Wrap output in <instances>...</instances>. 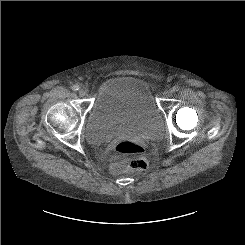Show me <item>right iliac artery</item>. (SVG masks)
Returning a JSON list of instances; mask_svg holds the SVG:
<instances>
[{
  "label": "right iliac artery",
  "mask_w": 245,
  "mask_h": 245,
  "mask_svg": "<svg viewBox=\"0 0 245 245\" xmlns=\"http://www.w3.org/2000/svg\"><path fill=\"white\" fill-rule=\"evenodd\" d=\"M78 89H79V86L78 85L72 86V90L77 91Z\"/></svg>",
  "instance_id": "right-iliac-artery-1"
}]
</instances>
